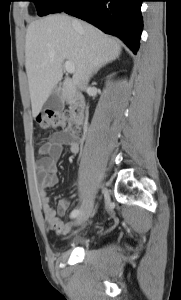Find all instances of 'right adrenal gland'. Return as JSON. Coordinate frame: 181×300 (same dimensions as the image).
Listing matches in <instances>:
<instances>
[{
    "label": "right adrenal gland",
    "mask_w": 181,
    "mask_h": 300,
    "mask_svg": "<svg viewBox=\"0 0 181 300\" xmlns=\"http://www.w3.org/2000/svg\"><path fill=\"white\" fill-rule=\"evenodd\" d=\"M100 68H102V66L98 67V68L96 69L95 73H97V72H98V70H99Z\"/></svg>",
    "instance_id": "2a0ac1e0"
}]
</instances>
